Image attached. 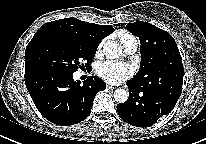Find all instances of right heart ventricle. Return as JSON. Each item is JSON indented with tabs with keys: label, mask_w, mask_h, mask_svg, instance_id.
Masks as SVG:
<instances>
[{
	"label": "right heart ventricle",
	"mask_w": 206,
	"mask_h": 144,
	"mask_svg": "<svg viewBox=\"0 0 206 144\" xmlns=\"http://www.w3.org/2000/svg\"><path fill=\"white\" fill-rule=\"evenodd\" d=\"M118 38L122 45L126 47L130 42L136 41L135 37L127 32L121 31L118 33Z\"/></svg>",
	"instance_id": "obj_1"
}]
</instances>
